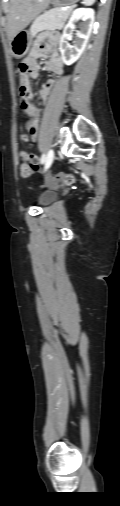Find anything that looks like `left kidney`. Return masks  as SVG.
I'll list each match as a JSON object with an SVG mask.
<instances>
[{"label":"left kidney","mask_w":120,"mask_h":506,"mask_svg":"<svg viewBox=\"0 0 120 506\" xmlns=\"http://www.w3.org/2000/svg\"><path fill=\"white\" fill-rule=\"evenodd\" d=\"M82 21L80 31L76 32V39L73 45L68 43L72 31L75 29V23ZM94 24V11L90 8H78L72 12V15L63 30L59 42L61 57L66 65L76 62L86 48L88 39L91 35Z\"/></svg>","instance_id":"obj_1"}]
</instances>
